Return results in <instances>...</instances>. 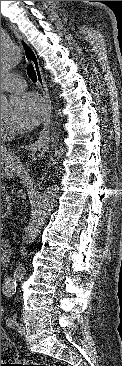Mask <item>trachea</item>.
Returning <instances> with one entry per match:
<instances>
[{
  "mask_svg": "<svg viewBox=\"0 0 122 366\" xmlns=\"http://www.w3.org/2000/svg\"><path fill=\"white\" fill-rule=\"evenodd\" d=\"M27 74L29 76V78L33 81L36 82L37 81V75L36 72L34 70V67L32 64H30L27 68Z\"/></svg>",
  "mask_w": 122,
  "mask_h": 366,
  "instance_id": "1",
  "label": "trachea"
}]
</instances>
